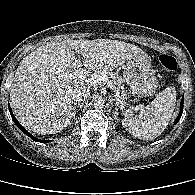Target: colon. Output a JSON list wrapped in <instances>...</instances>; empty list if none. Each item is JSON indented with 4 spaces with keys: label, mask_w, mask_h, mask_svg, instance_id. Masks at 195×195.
Listing matches in <instances>:
<instances>
[{
    "label": "colon",
    "mask_w": 195,
    "mask_h": 195,
    "mask_svg": "<svg viewBox=\"0 0 195 195\" xmlns=\"http://www.w3.org/2000/svg\"><path fill=\"white\" fill-rule=\"evenodd\" d=\"M158 60L161 67L166 71L173 72L176 70L177 62L173 56L166 54L160 55Z\"/></svg>",
    "instance_id": "5ec220e1"
}]
</instances>
